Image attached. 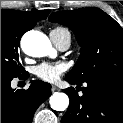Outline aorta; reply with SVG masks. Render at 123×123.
I'll return each instance as SVG.
<instances>
[{
    "label": "aorta",
    "mask_w": 123,
    "mask_h": 123,
    "mask_svg": "<svg viewBox=\"0 0 123 123\" xmlns=\"http://www.w3.org/2000/svg\"><path fill=\"white\" fill-rule=\"evenodd\" d=\"M21 47L27 55L32 57H43L52 51L48 37L39 31L27 32L21 40ZM49 102L53 110L64 111L68 108L69 98L65 93L55 92Z\"/></svg>",
    "instance_id": "aorta-1"
}]
</instances>
